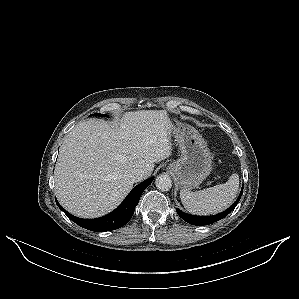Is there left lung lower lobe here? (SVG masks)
<instances>
[{"label": "left lung lower lobe", "mask_w": 299, "mask_h": 299, "mask_svg": "<svg viewBox=\"0 0 299 299\" xmlns=\"http://www.w3.org/2000/svg\"><path fill=\"white\" fill-rule=\"evenodd\" d=\"M243 193V189L241 190V195ZM238 201H236L234 204H232L227 210L216 214V215H212V216H194V215H190V214H186L183 213L182 211H180L179 209H176L178 215L186 222L192 224V225H209L212 224L224 217H226L237 205Z\"/></svg>", "instance_id": "left-lung-lower-lobe-1"}]
</instances>
